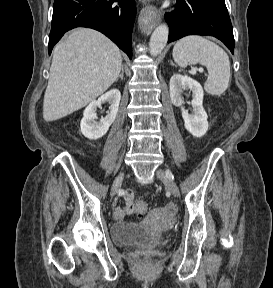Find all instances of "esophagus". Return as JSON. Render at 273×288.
<instances>
[{"label": "esophagus", "instance_id": "obj_1", "mask_svg": "<svg viewBox=\"0 0 273 288\" xmlns=\"http://www.w3.org/2000/svg\"><path fill=\"white\" fill-rule=\"evenodd\" d=\"M138 21L143 32H150L161 21V13L148 4L141 10Z\"/></svg>", "mask_w": 273, "mask_h": 288}]
</instances>
